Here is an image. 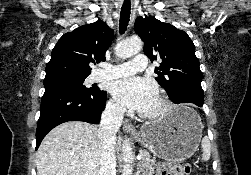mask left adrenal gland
Segmentation results:
<instances>
[{"label":"left adrenal gland","instance_id":"left-adrenal-gland-1","mask_svg":"<svg viewBox=\"0 0 251 175\" xmlns=\"http://www.w3.org/2000/svg\"><path fill=\"white\" fill-rule=\"evenodd\" d=\"M140 171H141V165H140V163H138L136 175H141Z\"/></svg>","mask_w":251,"mask_h":175}]
</instances>
